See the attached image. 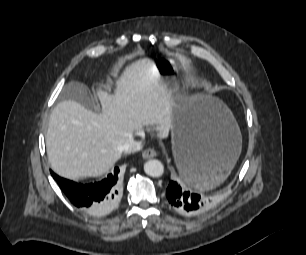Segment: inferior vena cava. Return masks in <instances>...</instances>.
Listing matches in <instances>:
<instances>
[{"label":"inferior vena cava","mask_w":306,"mask_h":255,"mask_svg":"<svg viewBox=\"0 0 306 255\" xmlns=\"http://www.w3.org/2000/svg\"><path fill=\"white\" fill-rule=\"evenodd\" d=\"M138 135L143 136V133L140 132ZM142 146L143 144L141 141H135L134 138L130 136L129 139L120 147V150L125 153H134L140 151Z\"/></svg>","instance_id":"1"}]
</instances>
